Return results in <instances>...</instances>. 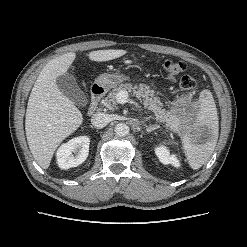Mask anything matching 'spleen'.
I'll return each instance as SVG.
<instances>
[{"instance_id": "3e777b00", "label": "spleen", "mask_w": 247, "mask_h": 247, "mask_svg": "<svg viewBox=\"0 0 247 247\" xmlns=\"http://www.w3.org/2000/svg\"><path fill=\"white\" fill-rule=\"evenodd\" d=\"M205 129L210 136L206 142L198 143V137ZM219 121L217 108L209 90H203L199 97V109L191 132L183 136L182 144L192 169H199L212 155L218 140Z\"/></svg>"}]
</instances>
